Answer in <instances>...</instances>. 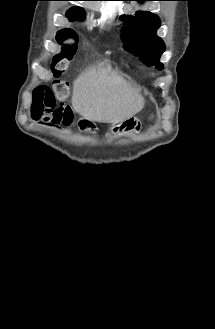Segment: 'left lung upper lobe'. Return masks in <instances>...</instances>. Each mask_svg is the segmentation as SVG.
Wrapping results in <instances>:
<instances>
[{
	"label": "left lung upper lobe",
	"mask_w": 215,
	"mask_h": 329,
	"mask_svg": "<svg viewBox=\"0 0 215 329\" xmlns=\"http://www.w3.org/2000/svg\"><path fill=\"white\" fill-rule=\"evenodd\" d=\"M145 2L151 0H124ZM122 19L127 27L123 29L122 40L124 49L140 56L147 65H155L158 70L164 68L159 61V57L165 51V44L156 35V30L160 27L159 18L150 12L139 11L135 16Z\"/></svg>",
	"instance_id": "obj_1"
}]
</instances>
